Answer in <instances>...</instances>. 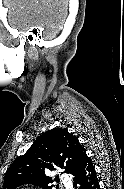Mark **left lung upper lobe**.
<instances>
[{
	"label": "left lung upper lobe",
	"mask_w": 124,
	"mask_h": 189,
	"mask_svg": "<svg viewBox=\"0 0 124 189\" xmlns=\"http://www.w3.org/2000/svg\"><path fill=\"white\" fill-rule=\"evenodd\" d=\"M86 157L85 149L73 133L53 128L37 137L27 152L10 165L5 173L3 189H15L23 184L52 189L53 185L49 186L52 179L45 175V170L60 167L64 173L73 175Z\"/></svg>",
	"instance_id": "left-lung-upper-lobe-1"
}]
</instances>
